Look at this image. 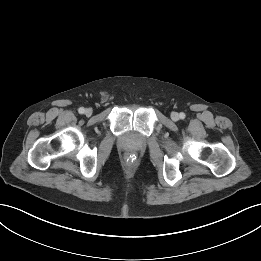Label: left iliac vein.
<instances>
[{
	"instance_id": "obj_1",
	"label": "left iliac vein",
	"mask_w": 261,
	"mask_h": 261,
	"mask_svg": "<svg viewBox=\"0 0 261 261\" xmlns=\"http://www.w3.org/2000/svg\"><path fill=\"white\" fill-rule=\"evenodd\" d=\"M171 119L173 121H177L179 119V114L177 112H172L171 113Z\"/></svg>"
}]
</instances>
